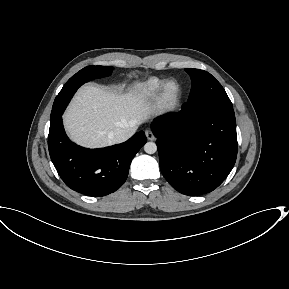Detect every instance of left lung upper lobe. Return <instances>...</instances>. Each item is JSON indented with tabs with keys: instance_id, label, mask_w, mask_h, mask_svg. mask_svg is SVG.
Returning <instances> with one entry per match:
<instances>
[{
	"instance_id": "left-lung-upper-lobe-1",
	"label": "left lung upper lobe",
	"mask_w": 289,
	"mask_h": 289,
	"mask_svg": "<svg viewBox=\"0 0 289 289\" xmlns=\"http://www.w3.org/2000/svg\"><path fill=\"white\" fill-rule=\"evenodd\" d=\"M192 81L188 102L216 101L232 105L221 84L208 72L200 69L186 68Z\"/></svg>"
}]
</instances>
